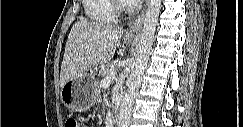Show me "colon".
<instances>
[{"label": "colon", "instance_id": "obj_1", "mask_svg": "<svg viewBox=\"0 0 243 127\" xmlns=\"http://www.w3.org/2000/svg\"><path fill=\"white\" fill-rule=\"evenodd\" d=\"M66 127H78V123L74 118H68L65 123Z\"/></svg>", "mask_w": 243, "mask_h": 127}]
</instances>
